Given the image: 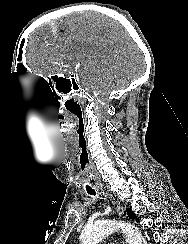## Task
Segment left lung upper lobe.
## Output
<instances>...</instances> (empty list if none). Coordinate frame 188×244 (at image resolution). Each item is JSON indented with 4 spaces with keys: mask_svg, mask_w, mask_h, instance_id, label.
I'll list each match as a JSON object with an SVG mask.
<instances>
[{
    "mask_svg": "<svg viewBox=\"0 0 188 244\" xmlns=\"http://www.w3.org/2000/svg\"><path fill=\"white\" fill-rule=\"evenodd\" d=\"M127 213H128V217L130 219H135L136 221H138V218L136 216V214L130 209V208H127Z\"/></svg>",
    "mask_w": 188,
    "mask_h": 244,
    "instance_id": "left-lung-upper-lobe-1",
    "label": "left lung upper lobe"
}]
</instances>
